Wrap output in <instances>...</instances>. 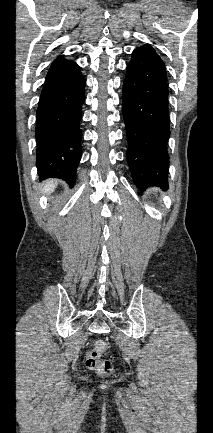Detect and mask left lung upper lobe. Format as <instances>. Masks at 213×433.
<instances>
[{
	"label": "left lung upper lobe",
	"instance_id": "1",
	"mask_svg": "<svg viewBox=\"0 0 213 433\" xmlns=\"http://www.w3.org/2000/svg\"><path fill=\"white\" fill-rule=\"evenodd\" d=\"M146 46V45H145ZM146 47H151L152 48V46L151 45H147Z\"/></svg>",
	"mask_w": 213,
	"mask_h": 433
}]
</instances>
